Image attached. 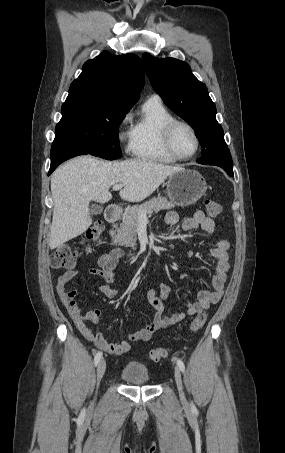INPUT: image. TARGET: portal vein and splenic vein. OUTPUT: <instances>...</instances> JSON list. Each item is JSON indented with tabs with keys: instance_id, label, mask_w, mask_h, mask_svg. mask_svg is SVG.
I'll return each instance as SVG.
<instances>
[{
	"instance_id": "1",
	"label": "portal vein and splenic vein",
	"mask_w": 285,
	"mask_h": 453,
	"mask_svg": "<svg viewBox=\"0 0 285 453\" xmlns=\"http://www.w3.org/2000/svg\"><path fill=\"white\" fill-rule=\"evenodd\" d=\"M122 187H123L122 184H115V185H113V190L117 191V190H120ZM140 218L141 219H145L146 218V213L140 212Z\"/></svg>"
}]
</instances>
